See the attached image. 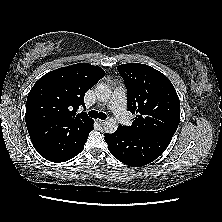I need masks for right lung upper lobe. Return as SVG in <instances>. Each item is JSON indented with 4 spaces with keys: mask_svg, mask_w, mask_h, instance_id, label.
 Wrapping results in <instances>:
<instances>
[{
    "mask_svg": "<svg viewBox=\"0 0 222 222\" xmlns=\"http://www.w3.org/2000/svg\"><path fill=\"white\" fill-rule=\"evenodd\" d=\"M105 72L88 63L62 67L42 76L27 97L25 120L35 148L84 135L92 123L85 112L84 96Z\"/></svg>",
    "mask_w": 222,
    "mask_h": 222,
    "instance_id": "1",
    "label": "right lung upper lobe"
}]
</instances>
